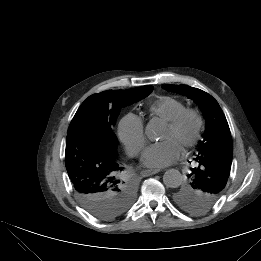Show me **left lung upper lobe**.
I'll return each instance as SVG.
<instances>
[{
  "mask_svg": "<svg viewBox=\"0 0 261 261\" xmlns=\"http://www.w3.org/2000/svg\"><path fill=\"white\" fill-rule=\"evenodd\" d=\"M163 88L191 98L206 120L200 150L194 159L196 167L188 175L191 179L173 194L174 202L181 209L201 214L217 202L227 184L233 155L230 129L219 104L208 93L185 85H164Z\"/></svg>",
  "mask_w": 261,
  "mask_h": 261,
  "instance_id": "obj_1",
  "label": "left lung upper lobe"
}]
</instances>
